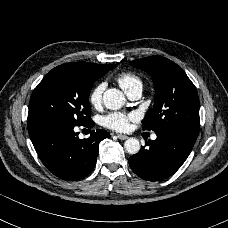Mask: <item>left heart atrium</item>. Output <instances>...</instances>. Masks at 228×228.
I'll return each instance as SVG.
<instances>
[{"mask_svg":"<svg viewBox=\"0 0 228 228\" xmlns=\"http://www.w3.org/2000/svg\"><path fill=\"white\" fill-rule=\"evenodd\" d=\"M133 118L134 117L131 114L113 112L104 117L103 124L105 127L114 131H126Z\"/></svg>","mask_w":228,"mask_h":228,"instance_id":"1","label":"left heart atrium"}]
</instances>
